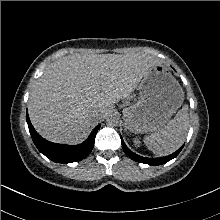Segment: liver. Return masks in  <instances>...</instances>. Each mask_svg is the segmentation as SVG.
Segmentation results:
<instances>
[{
	"mask_svg": "<svg viewBox=\"0 0 220 220\" xmlns=\"http://www.w3.org/2000/svg\"><path fill=\"white\" fill-rule=\"evenodd\" d=\"M156 64L160 61L142 53L62 57L46 67L30 94L31 123L49 141L81 143L90 127L129 97ZM94 110L98 118L90 116Z\"/></svg>",
	"mask_w": 220,
	"mask_h": 220,
	"instance_id": "6515ba94",
	"label": "liver"
}]
</instances>
